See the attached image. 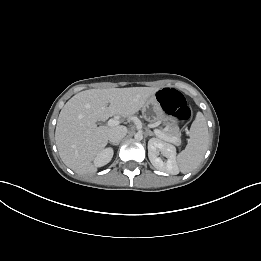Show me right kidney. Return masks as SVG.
Here are the masks:
<instances>
[{"label":"right kidney","instance_id":"right-kidney-1","mask_svg":"<svg viewBox=\"0 0 261 261\" xmlns=\"http://www.w3.org/2000/svg\"><path fill=\"white\" fill-rule=\"evenodd\" d=\"M113 149L112 148H106L103 149L94 159V165L96 167H102L106 164H108L112 157H113Z\"/></svg>","mask_w":261,"mask_h":261}]
</instances>
